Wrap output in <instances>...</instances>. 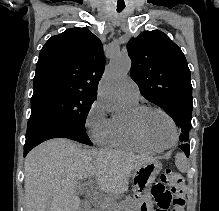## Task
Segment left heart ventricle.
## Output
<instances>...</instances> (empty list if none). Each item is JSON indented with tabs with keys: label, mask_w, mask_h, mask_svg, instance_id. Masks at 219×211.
Here are the masks:
<instances>
[{
	"label": "left heart ventricle",
	"mask_w": 219,
	"mask_h": 211,
	"mask_svg": "<svg viewBox=\"0 0 219 211\" xmlns=\"http://www.w3.org/2000/svg\"><path fill=\"white\" fill-rule=\"evenodd\" d=\"M147 137L159 147H166L174 142V131L170 121L161 113L148 112L143 120Z\"/></svg>",
	"instance_id": "1"
}]
</instances>
